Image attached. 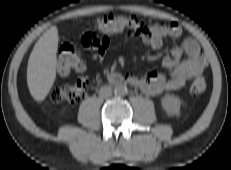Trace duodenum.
<instances>
[{"mask_svg": "<svg viewBox=\"0 0 231 170\" xmlns=\"http://www.w3.org/2000/svg\"><path fill=\"white\" fill-rule=\"evenodd\" d=\"M112 81H113L114 84H122L123 82H125V81L122 79V77L119 76V75H114V76L112 77Z\"/></svg>", "mask_w": 231, "mask_h": 170, "instance_id": "410a0bca", "label": "duodenum"}]
</instances>
